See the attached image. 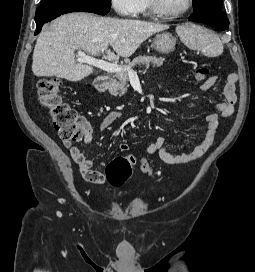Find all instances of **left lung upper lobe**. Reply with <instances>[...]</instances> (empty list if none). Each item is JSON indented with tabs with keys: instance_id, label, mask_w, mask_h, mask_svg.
<instances>
[{
	"instance_id": "obj_1",
	"label": "left lung upper lobe",
	"mask_w": 255,
	"mask_h": 272,
	"mask_svg": "<svg viewBox=\"0 0 255 272\" xmlns=\"http://www.w3.org/2000/svg\"><path fill=\"white\" fill-rule=\"evenodd\" d=\"M192 2L195 5L194 11L207 6H218L222 8V0H192Z\"/></svg>"
}]
</instances>
